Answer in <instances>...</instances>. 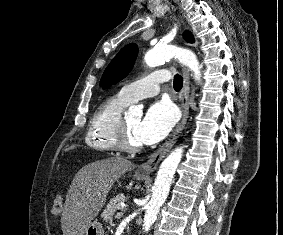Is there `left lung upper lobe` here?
I'll list each match as a JSON object with an SVG mask.
<instances>
[{"label":"left lung upper lobe","instance_id":"5c2ea615","mask_svg":"<svg viewBox=\"0 0 283 235\" xmlns=\"http://www.w3.org/2000/svg\"><path fill=\"white\" fill-rule=\"evenodd\" d=\"M184 38L188 42L193 41V37L188 31L184 33ZM137 54L138 47L136 44L132 43L124 46L107 66L100 85L106 88L122 80L132 69Z\"/></svg>","mask_w":283,"mask_h":235}]
</instances>
